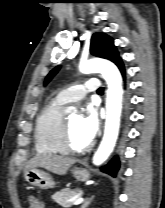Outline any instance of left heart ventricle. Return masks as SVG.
I'll list each match as a JSON object with an SVG mask.
<instances>
[{
	"mask_svg": "<svg viewBox=\"0 0 165 208\" xmlns=\"http://www.w3.org/2000/svg\"><path fill=\"white\" fill-rule=\"evenodd\" d=\"M70 126V140L75 147H84L89 142L84 138L81 132V117L79 115H72L68 117Z\"/></svg>",
	"mask_w": 165,
	"mask_h": 208,
	"instance_id": "1",
	"label": "left heart ventricle"
}]
</instances>
